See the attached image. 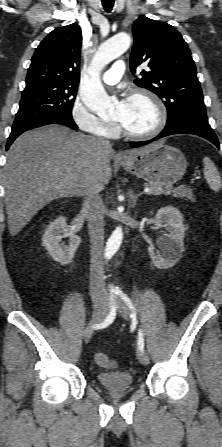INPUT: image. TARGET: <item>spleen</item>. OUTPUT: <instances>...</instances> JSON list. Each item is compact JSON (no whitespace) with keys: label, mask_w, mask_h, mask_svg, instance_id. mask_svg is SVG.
Masks as SVG:
<instances>
[{"label":"spleen","mask_w":222,"mask_h":447,"mask_svg":"<svg viewBox=\"0 0 222 447\" xmlns=\"http://www.w3.org/2000/svg\"><path fill=\"white\" fill-rule=\"evenodd\" d=\"M203 163L204 176L208 182L209 187L213 191L218 192L222 188V182L216 166L208 157H204Z\"/></svg>","instance_id":"3e777b00"}]
</instances>
